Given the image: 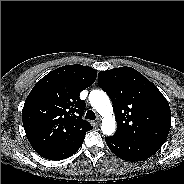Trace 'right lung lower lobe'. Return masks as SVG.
<instances>
[{
    "instance_id": "1",
    "label": "right lung lower lobe",
    "mask_w": 184,
    "mask_h": 184,
    "mask_svg": "<svg viewBox=\"0 0 184 184\" xmlns=\"http://www.w3.org/2000/svg\"><path fill=\"white\" fill-rule=\"evenodd\" d=\"M83 140L77 144L58 148L52 151L44 152L39 154L41 157L49 160H61L73 155L82 145Z\"/></svg>"
}]
</instances>
